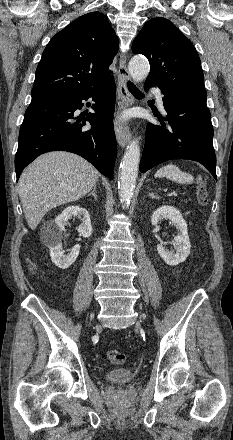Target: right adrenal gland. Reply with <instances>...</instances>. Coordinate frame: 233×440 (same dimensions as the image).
<instances>
[{"instance_id":"right-adrenal-gland-1","label":"right adrenal gland","mask_w":233,"mask_h":440,"mask_svg":"<svg viewBox=\"0 0 233 440\" xmlns=\"http://www.w3.org/2000/svg\"><path fill=\"white\" fill-rule=\"evenodd\" d=\"M96 189H97V186H94L92 192L88 194V196L92 195L95 200L97 199Z\"/></svg>"}]
</instances>
